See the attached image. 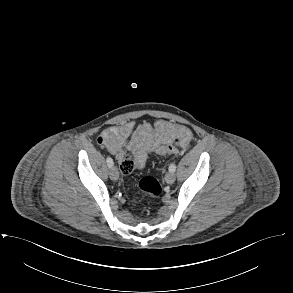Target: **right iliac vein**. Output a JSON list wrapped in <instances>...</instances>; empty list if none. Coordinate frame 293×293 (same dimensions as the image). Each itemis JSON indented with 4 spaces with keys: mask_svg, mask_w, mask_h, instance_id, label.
<instances>
[{
    "mask_svg": "<svg viewBox=\"0 0 293 293\" xmlns=\"http://www.w3.org/2000/svg\"><path fill=\"white\" fill-rule=\"evenodd\" d=\"M109 176L112 180H117L119 178V172L116 167H111L109 170Z\"/></svg>",
    "mask_w": 293,
    "mask_h": 293,
    "instance_id": "63e3f726",
    "label": "right iliac vein"
}]
</instances>
